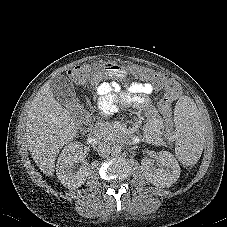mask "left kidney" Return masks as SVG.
Returning <instances> with one entry per match:
<instances>
[{"label":"left kidney","instance_id":"obj_1","mask_svg":"<svg viewBox=\"0 0 227 227\" xmlns=\"http://www.w3.org/2000/svg\"><path fill=\"white\" fill-rule=\"evenodd\" d=\"M158 163L159 168H155L152 163L144 161V176L157 187H170L180 176L178 161L170 152L161 151L158 154Z\"/></svg>","mask_w":227,"mask_h":227}]
</instances>
